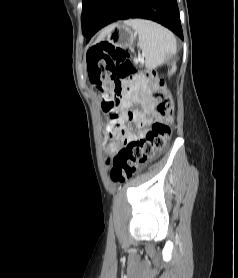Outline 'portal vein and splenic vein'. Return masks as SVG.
<instances>
[{
	"label": "portal vein and splenic vein",
	"instance_id": "18ae733b",
	"mask_svg": "<svg viewBox=\"0 0 238 278\" xmlns=\"http://www.w3.org/2000/svg\"><path fill=\"white\" fill-rule=\"evenodd\" d=\"M138 61L143 62V61H144V58L141 57V56H139V57H138Z\"/></svg>",
	"mask_w": 238,
	"mask_h": 278
}]
</instances>
